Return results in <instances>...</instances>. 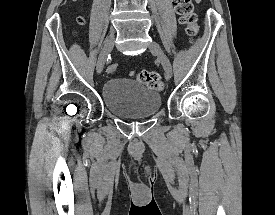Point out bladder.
<instances>
[{
    "instance_id": "31cf9c89",
    "label": "bladder",
    "mask_w": 275,
    "mask_h": 215,
    "mask_svg": "<svg viewBox=\"0 0 275 215\" xmlns=\"http://www.w3.org/2000/svg\"><path fill=\"white\" fill-rule=\"evenodd\" d=\"M102 101L108 111L121 118H147L161 106V95L140 82L111 78L102 86Z\"/></svg>"
}]
</instances>
